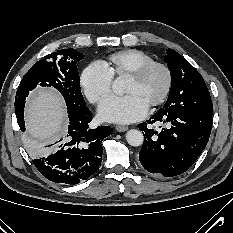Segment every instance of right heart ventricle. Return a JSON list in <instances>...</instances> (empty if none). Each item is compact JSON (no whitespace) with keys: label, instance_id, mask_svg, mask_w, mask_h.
<instances>
[{"label":"right heart ventricle","instance_id":"e07e8e85","mask_svg":"<svg viewBox=\"0 0 233 233\" xmlns=\"http://www.w3.org/2000/svg\"><path fill=\"white\" fill-rule=\"evenodd\" d=\"M153 58L138 49H125L111 54L103 63L113 77H126L137 67L152 62Z\"/></svg>","mask_w":233,"mask_h":233}]
</instances>
